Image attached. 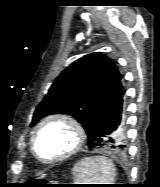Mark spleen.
Masks as SVG:
<instances>
[{
  "mask_svg": "<svg viewBox=\"0 0 160 187\" xmlns=\"http://www.w3.org/2000/svg\"><path fill=\"white\" fill-rule=\"evenodd\" d=\"M76 184H112L115 179V167L104 156L86 157L72 169Z\"/></svg>",
  "mask_w": 160,
  "mask_h": 187,
  "instance_id": "3e777b00",
  "label": "spleen"
}]
</instances>
